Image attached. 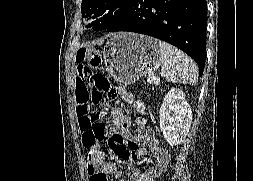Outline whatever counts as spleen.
<instances>
[{"mask_svg":"<svg viewBox=\"0 0 253 181\" xmlns=\"http://www.w3.org/2000/svg\"><path fill=\"white\" fill-rule=\"evenodd\" d=\"M161 74L173 83H188L196 85L198 82V67L185 53L172 45L160 41Z\"/></svg>","mask_w":253,"mask_h":181,"instance_id":"spleen-1","label":"spleen"}]
</instances>
